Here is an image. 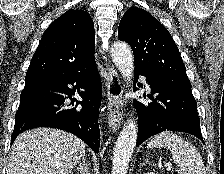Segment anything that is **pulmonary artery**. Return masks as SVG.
<instances>
[{"instance_id":"pulmonary-artery-1","label":"pulmonary artery","mask_w":224,"mask_h":174,"mask_svg":"<svg viewBox=\"0 0 224 174\" xmlns=\"http://www.w3.org/2000/svg\"><path fill=\"white\" fill-rule=\"evenodd\" d=\"M145 84H146V87L149 89V85L147 83H145Z\"/></svg>"}]
</instances>
